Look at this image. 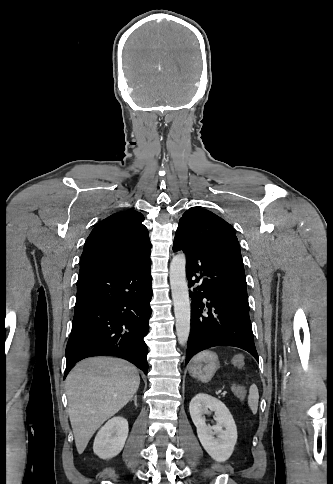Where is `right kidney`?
I'll return each instance as SVG.
<instances>
[{
	"label": "right kidney",
	"mask_w": 333,
	"mask_h": 484,
	"mask_svg": "<svg viewBox=\"0 0 333 484\" xmlns=\"http://www.w3.org/2000/svg\"><path fill=\"white\" fill-rule=\"evenodd\" d=\"M128 422L123 417L110 419L97 433L93 451L101 459H110L118 455L128 437Z\"/></svg>",
	"instance_id": "1"
}]
</instances>
